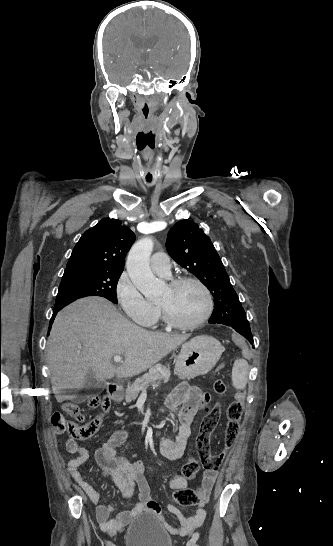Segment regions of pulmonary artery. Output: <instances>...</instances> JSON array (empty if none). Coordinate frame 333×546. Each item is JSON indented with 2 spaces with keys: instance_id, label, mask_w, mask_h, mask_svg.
<instances>
[{
  "instance_id": "obj_1",
  "label": "pulmonary artery",
  "mask_w": 333,
  "mask_h": 546,
  "mask_svg": "<svg viewBox=\"0 0 333 546\" xmlns=\"http://www.w3.org/2000/svg\"><path fill=\"white\" fill-rule=\"evenodd\" d=\"M151 269L158 275L169 277L171 274V263L169 256L164 252L152 255L150 260Z\"/></svg>"
}]
</instances>
